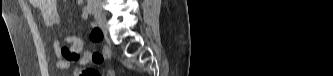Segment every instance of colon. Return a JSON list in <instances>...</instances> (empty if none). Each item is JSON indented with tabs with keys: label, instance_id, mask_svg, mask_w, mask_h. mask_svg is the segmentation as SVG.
<instances>
[{
	"label": "colon",
	"instance_id": "obj_1",
	"mask_svg": "<svg viewBox=\"0 0 333 76\" xmlns=\"http://www.w3.org/2000/svg\"><path fill=\"white\" fill-rule=\"evenodd\" d=\"M82 76H101V74L99 72H95L94 70H91L89 68H85V69H82ZM109 76H113V72L110 71L108 73Z\"/></svg>",
	"mask_w": 333,
	"mask_h": 76
}]
</instances>
